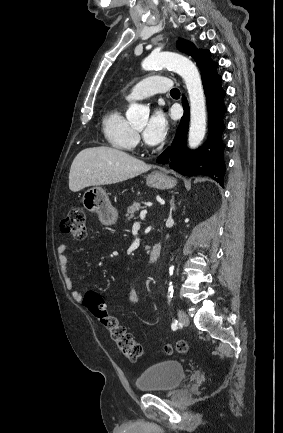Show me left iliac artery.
I'll return each instance as SVG.
<instances>
[{
    "label": "left iliac artery",
    "instance_id": "obj_1",
    "mask_svg": "<svg viewBox=\"0 0 283 433\" xmlns=\"http://www.w3.org/2000/svg\"><path fill=\"white\" fill-rule=\"evenodd\" d=\"M169 291H170V294L168 295V299H169V302L171 301V298L173 297V289L171 288V289H169ZM177 320H175V323H173L172 324V329H174V328H176V326H177Z\"/></svg>",
    "mask_w": 283,
    "mask_h": 433
}]
</instances>
